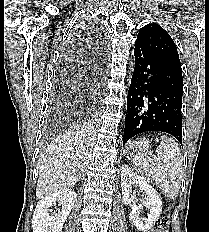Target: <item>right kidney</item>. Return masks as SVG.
Here are the masks:
<instances>
[{
  "instance_id": "ca27d5eb",
  "label": "right kidney",
  "mask_w": 209,
  "mask_h": 232,
  "mask_svg": "<svg viewBox=\"0 0 209 232\" xmlns=\"http://www.w3.org/2000/svg\"><path fill=\"white\" fill-rule=\"evenodd\" d=\"M76 200V193L69 188L61 189L46 197L37 204L33 214V232H62L63 224L69 216ZM61 206L58 213L50 208L52 205Z\"/></svg>"
}]
</instances>
